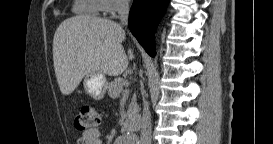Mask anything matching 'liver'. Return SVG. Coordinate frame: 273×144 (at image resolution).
I'll use <instances>...</instances> for the list:
<instances>
[{
  "instance_id": "liver-1",
  "label": "liver",
  "mask_w": 273,
  "mask_h": 144,
  "mask_svg": "<svg viewBox=\"0 0 273 144\" xmlns=\"http://www.w3.org/2000/svg\"><path fill=\"white\" fill-rule=\"evenodd\" d=\"M125 31L118 23L104 18L80 15L64 20L53 38V63L60 91L70 95L82 78L101 72L118 76L133 59L122 46Z\"/></svg>"
}]
</instances>
